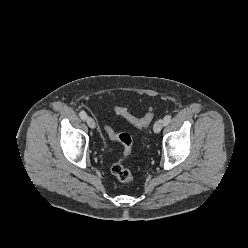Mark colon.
Wrapping results in <instances>:
<instances>
[{
	"mask_svg": "<svg viewBox=\"0 0 248 248\" xmlns=\"http://www.w3.org/2000/svg\"><path fill=\"white\" fill-rule=\"evenodd\" d=\"M116 115L126 119L128 122L137 127L146 126L154 118V111L149 110L143 117H136L132 115L126 108L115 105L112 107ZM105 130L108 136L118 141L123 147V157L121 160L114 163L111 167V173L120 182H131L134 177L132 173L125 167L124 161L130 156L132 152L133 140L128 133H117L112 127L106 125Z\"/></svg>",
	"mask_w": 248,
	"mask_h": 248,
	"instance_id": "5ec220e1",
	"label": "colon"
}]
</instances>
